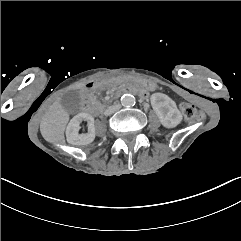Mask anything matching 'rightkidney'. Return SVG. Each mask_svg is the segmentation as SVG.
Returning a JSON list of instances; mask_svg holds the SVG:
<instances>
[{
    "mask_svg": "<svg viewBox=\"0 0 241 241\" xmlns=\"http://www.w3.org/2000/svg\"><path fill=\"white\" fill-rule=\"evenodd\" d=\"M83 121L88 122L89 132L86 134H79ZM95 137L94 117L88 113H79L74 116L66 128L67 142L74 146H87L95 140Z\"/></svg>",
    "mask_w": 241,
    "mask_h": 241,
    "instance_id": "ca27d5eb",
    "label": "right kidney"
}]
</instances>
